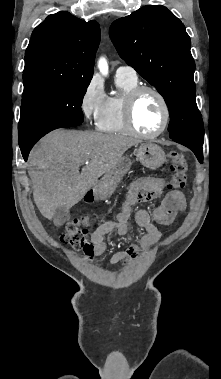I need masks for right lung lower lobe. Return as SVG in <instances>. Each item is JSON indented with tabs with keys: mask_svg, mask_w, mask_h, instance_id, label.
Here are the masks:
<instances>
[{
	"mask_svg": "<svg viewBox=\"0 0 221 379\" xmlns=\"http://www.w3.org/2000/svg\"><path fill=\"white\" fill-rule=\"evenodd\" d=\"M41 137L34 139L32 141L30 140H24V141H19V146L23 155L24 160L26 161L28 158V154L33 147V145L40 139Z\"/></svg>",
	"mask_w": 221,
	"mask_h": 379,
	"instance_id": "98d812e1",
	"label": "right lung lower lobe"
}]
</instances>
